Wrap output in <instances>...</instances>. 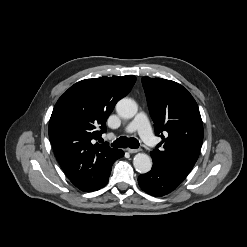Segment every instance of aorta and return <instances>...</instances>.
Instances as JSON below:
<instances>
[{"instance_id":"obj_1","label":"aorta","mask_w":247,"mask_h":247,"mask_svg":"<svg viewBox=\"0 0 247 247\" xmlns=\"http://www.w3.org/2000/svg\"><path fill=\"white\" fill-rule=\"evenodd\" d=\"M137 110V104L131 98H123L116 104V112L125 119L133 118ZM133 165L137 172L147 173L152 168V159L145 153H138L134 156Z\"/></svg>"}]
</instances>
